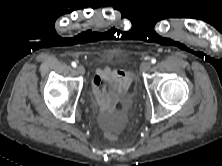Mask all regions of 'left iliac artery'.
Masks as SVG:
<instances>
[{
  "mask_svg": "<svg viewBox=\"0 0 222 166\" xmlns=\"http://www.w3.org/2000/svg\"><path fill=\"white\" fill-rule=\"evenodd\" d=\"M151 63H152V64H155V63H156V59H155V58H152V59H151Z\"/></svg>",
  "mask_w": 222,
  "mask_h": 166,
  "instance_id": "44dca946",
  "label": "left iliac artery"
}]
</instances>
